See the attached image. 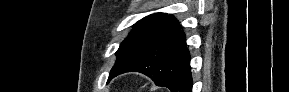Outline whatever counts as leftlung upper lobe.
Wrapping results in <instances>:
<instances>
[{
  "label": "left lung upper lobe",
  "instance_id": "5c2ea615",
  "mask_svg": "<svg viewBox=\"0 0 289 92\" xmlns=\"http://www.w3.org/2000/svg\"><path fill=\"white\" fill-rule=\"evenodd\" d=\"M176 23L178 20L173 15L166 13H154L135 23L116 52L117 60L110 74L129 64L163 32Z\"/></svg>",
  "mask_w": 289,
  "mask_h": 92
}]
</instances>
